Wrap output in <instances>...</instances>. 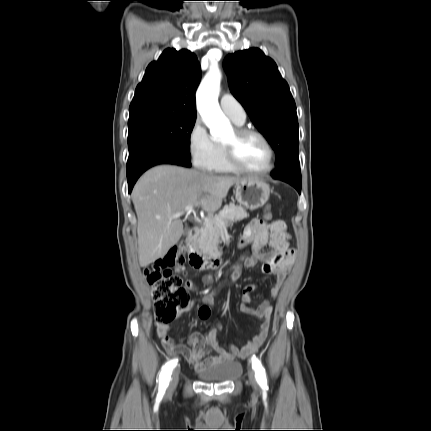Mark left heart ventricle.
I'll use <instances>...</instances> for the list:
<instances>
[{
	"label": "left heart ventricle",
	"mask_w": 431,
	"mask_h": 431,
	"mask_svg": "<svg viewBox=\"0 0 431 431\" xmlns=\"http://www.w3.org/2000/svg\"><path fill=\"white\" fill-rule=\"evenodd\" d=\"M234 137V131H232L225 137L224 142H232ZM237 155L241 163L251 169H262L269 163L267 147L258 137L253 135L238 141Z\"/></svg>",
	"instance_id": "1"
}]
</instances>
